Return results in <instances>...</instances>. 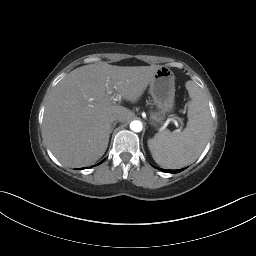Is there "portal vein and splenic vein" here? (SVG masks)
Returning a JSON list of instances; mask_svg holds the SVG:
<instances>
[{
	"label": "portal vein and splenic vein",
	"instance_id": "1",
	"mask_svg": "<svg viewBox=\"0 0 256 256\" xmlns=\"http://www.w3.org/2000/svg\"><path fill=\"white\" fill-rule=\"evenodd\" d=\"M109 93H111V92H109ZM176 120H178L179 122H182V119L181 118H179V117H176ZM152 125H155V124H153V123H151Z\"/></svg>",
	"mask_w": 256,
	"mask_h": 256
}]
</instances>
